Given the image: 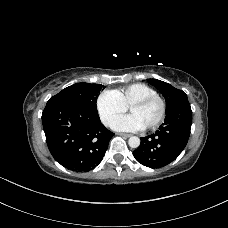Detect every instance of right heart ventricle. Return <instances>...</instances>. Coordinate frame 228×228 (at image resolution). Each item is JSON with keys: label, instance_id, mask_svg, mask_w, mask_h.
Returning a JSON list of instances; mask_svg holds the SVG:
<instances>
[{"label": "right heart ventricle", "instance_id": "e07e8e85", "mask_svg": "<svg viewBox=\"0 0 228 228\" xmlns=\"http://www.w3.org/2000/svg\"><path fill=\"white\" fill-rule=\"evenodd\" d=\"M115 93L118 95L121 102L127 107L138 99L156 95L157 91L147 84L134 83L121 89L115 90Z\"/></svg>", "mask_w": 228, "mask_h": 228}]
</instances>
